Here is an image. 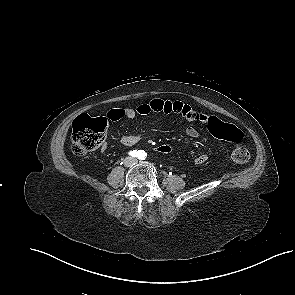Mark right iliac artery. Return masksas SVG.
<instances>
[{
    "instance_id": "right-iliac-artery-1",
    "label": "right iliac artery",
    "mask_w": 295,
    "mask_h": 295,
    "mask_svg": "<svg viewBox=\"0 0 295 295\" xmlns=\"http://www.w3.org/2000/svg\"><path fill=\"white\" fill-rule=\"evenodd\" d=\"M140 153H141L140 150H138V151L137 150H132V151L129 152V155L131 157H139Z\"/></svg>"
}]
</instances>
